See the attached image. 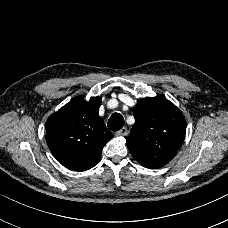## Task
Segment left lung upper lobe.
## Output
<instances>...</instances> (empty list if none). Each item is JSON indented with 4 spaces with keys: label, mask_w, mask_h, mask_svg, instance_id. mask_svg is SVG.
<instances>
[{
    "label": "left lung upper lobe",
    "mask_w": 228,
    "mask_h": 228,
    "mask_svg": "<svg viewBox=\"0 0 228 228\" xmlns=\"http://www.w3.org/2000/svg\"><path fill=\"white\" fill-rule=\"evenodd\" d=\"M135 124L126 144L142 166L159 168L170 162L181 147L186 120L181 111L160 96L137 100Z\"/></svg>",
    "instance_id": "left-lung-upper-lobe-1"
}]
</instances>
